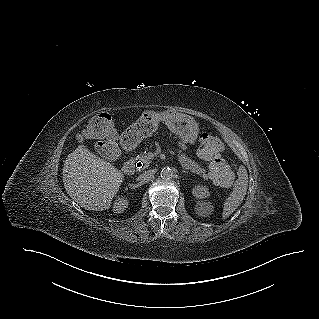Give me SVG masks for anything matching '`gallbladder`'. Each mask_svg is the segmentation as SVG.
<instances>
[{
  "mask_svg": "<svg viewBox=\"0 0 319 319\" xmlns=\"http://www.w3.org/2000/svg\"><path fill=\"white\" fill-rule=\"evenodd\" d=\"M114 148H117V146L115 145ZM108 150H112V149L110 148V149H108ZM115 158H116V156H114V155L111 156V159H112V160H114Z\"/></svg>",
  "mask_w": 319,
  "mask_h": 319,
  "instance_id": "bac80fb5",
  "label": "gallbladder"
}]
</instances>
